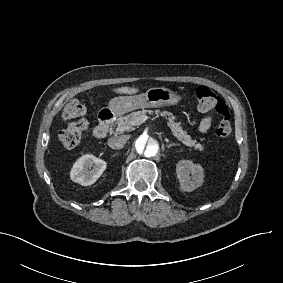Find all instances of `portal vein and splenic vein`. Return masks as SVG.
Here are the masks:
<instances>
[{
	"mask_svg": "<svg viewBox=\"0 0 283 283\" xmlns=\"http://www.w3.org/2000/svg\"><path fill=\"white\" fill-rule=\"evenodd\" d=\"M149 116H144L143 121L148 120Z\"/></svg>",
	"mask_w": 283,
	"mask_h": 283,
	"instance_id": "1",
	"label": "portal vein and splenic vein"
}]
</instances>
